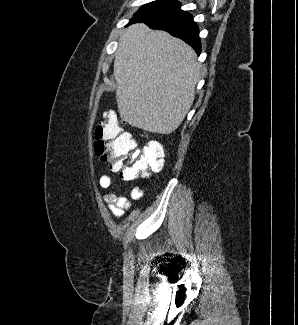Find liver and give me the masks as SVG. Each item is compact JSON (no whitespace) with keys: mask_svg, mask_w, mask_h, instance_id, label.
Masks as SVG:
<instances>
[{"mask_svg":"<svg viewBox=\"0 0 298 325\" xmlns=\"http://www.w3.org/2000/svg\"><path fill=\"white\" fill-rule=\"evenodd\" d=\"M196 58L189 44L165 30L143 22L125 28L113 66L121 120L148 132L176 130L194 102L201 66Z\"/></svg>","mask_w":298,"mask_h":325,"instance_id":"liver-1","label":"liver"}]
</instances>
